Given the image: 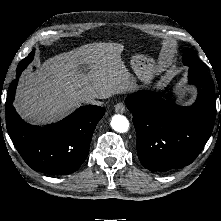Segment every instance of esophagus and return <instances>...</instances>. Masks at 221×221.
Wrapping results in <instances>:
<instances>
[{
	"label": "esophagus",
	"instance_id": "34e87169",
	"mask_svg": "<svg viewBox=\"0 0 221 221\" xmlns=\"http://www.w3.org/2000/svg\"><path fill=\"white\" fill-rule=\"evenodd\" d=\"M126 107L124 103L120 102L115 106V112L116 113H125Z\"/></svg>",
	"mask_w": 221,
	"mask_h": 221
}]
</instances>
